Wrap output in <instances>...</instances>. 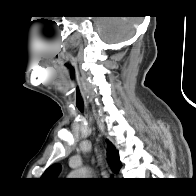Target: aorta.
<instances>
[{
	"label": "aorta",
	"instance_id": "762f6f07",
	"mask_svg": "<svg viewBox=\"0 0 196 196\" xmlns=\"http://www.w3.org/2000/svg\"><path fill=\"white\" fill-rule=\"evenodd\" d=\"M84 175H85V171L83 169L72 173V176H74L75 178H81V176Z\"/></svg>",
	"mask_w": 196,
	"mask_h": 196
}]
</instances>
